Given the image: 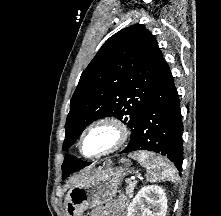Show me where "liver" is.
Listing matches in <instances>:
<instances>
[{"label":"liver","instance_id":"liver-1","mask_svg":"<svg viewBox=\"0 0 221 216\" xmlns=\"http://www.w3.org/2000/svg\"><path fill=\"white\" fill-rule=\"evenodd\" d=\"M91 170H92V168L85 169L79 175H77L76 177L72 178L70 180V183L74 184V183L80 182L84 177H86L90 173Z\"/></svg>","mask_w":221,"mask_h":216}]
</instances>
